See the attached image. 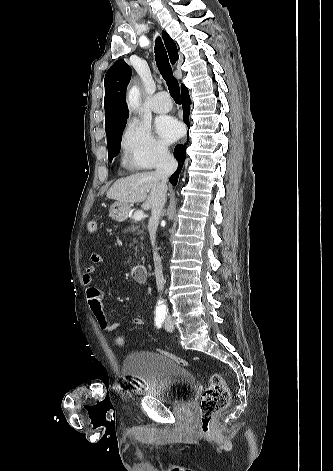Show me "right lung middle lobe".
Segmentation results:
<instances>
[{
    "label": "right lung middle lobe",
    "instance_id": "dd1d6c3e",
    "mask_svg": "<svg viewBox=\"0 0 333 471\" xmlns=\"http://www.w3.org/2000/svg\"><path fill=\"white\" fill-rule=\"evenodd\" d=\"M126 122L127 121L117 124L116 126L112 127L110 130L106 131L109 161H112V159L119 153L122 132L125 128Z\"/></svg>",
    "mask_w": 333,
    "mask_h": 471
}]
</instances>
